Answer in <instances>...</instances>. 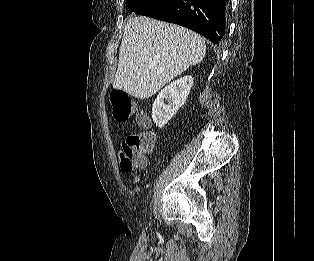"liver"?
<instances>
[{"label":"liver","mask_w":314,"mask_h":261,"mask_svg":"<svg viewBox=\"0 0 314 261\" xmlns=\"http://www.w3.org/2000/svg\"><path fill=\"white\" fill-rule=\"evenodd\" d=\"M205 53V40L193 31L133 14L125 24L113 87L147 99Z\"/></svg>","instance_id":"obj_1"}]
</instances>
